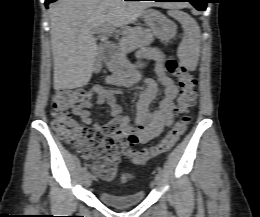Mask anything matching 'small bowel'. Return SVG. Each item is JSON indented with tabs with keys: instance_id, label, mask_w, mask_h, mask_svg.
Wrapping results in <instances>:
<instances>
[{
	"instance_id": "obj_1",
	"label": "small bowel",
	"mask_w": 260,
	"mask_h": 217,
	"mask_svg": "<svg viewBox=\"0 0 260 217\" xmlns=\"http://www.w3.org/2000/svg\"><path fill=\"white\" fill-rule=\"evenodd\" d=\"M140 58L152 59L155 62L157 80L147 79L144 81L135 109L134 124L129 117L123 114L122 106L116 101L115 95L119 89H110L104 85H95L92 92L100 101H106L111 107L112 119L106 124L92 122L89 110L96 107L88 103L75 108L74 113L93 128L99 129L110 135L116 142L126 136L130 145L145 144L158 137L165 127H169L173 121L174 102L178 94V86L174 79L164 70V59L155 49H143ZM141 79L140 71H134L128 78H120L112 75L106 78L108 84L115 86H130ZM163 87V97L154 110L150 105L156 97L158 86Z\"/></svg>"
}]
</instances>
